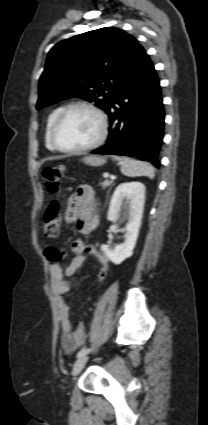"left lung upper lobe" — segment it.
<instances>
[{"mask_svg": "<svg viewBox=\"0 0 208 425\" xmlns=\"http://www.w3.org/2000/svg\"><path fill=\"white\" fill-rule=\"evenodd\" d=\"M146 56L135 37L115 27L63 40L48 53L36 108L79 97L106 110Z\"/></svg>", "mask_w": 208, "mask_h": 425, "instance_id": "left-lung-upper-lobe-1", "label": "left lung upper lobe"}]
</instances>
